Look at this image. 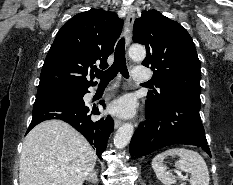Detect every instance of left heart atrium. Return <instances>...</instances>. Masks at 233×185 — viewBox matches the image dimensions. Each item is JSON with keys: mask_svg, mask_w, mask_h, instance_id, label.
Listing matches in <instances>:
<instances>
[{"mask_svg": "<svg viewBox=\"0 0 233 185\" xmlns=\"http://www.w3.org/2000/svg\"><path fill=\"white\" fill-rule=\"evenodd\" d=\"M109 111L119 117H131L135 112V102L130 96L120 97L111 103Z\"/></svg>", "mask_w": 233, "mask_h": 185, "instance_id": "39dd6f15", "label": "left heart atrium"}]
</instances>
